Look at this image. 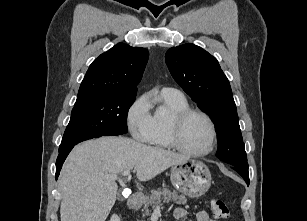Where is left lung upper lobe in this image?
<instances>
[{
  "instance_id": "1",
  "label": "left lung upper lobe",
  "mask_w": 307,
  "mask_h": 221,
  "mask_svg": "<svg viewBox=\"0 0 307 221\" xmlns=\"http://www.w3.org/2000/svg\"><path fill=\"white\" fill-rule=\"evenodd\" d=\"M165 60L175 81L214 121L217 157L248 171L232 90L216 58L199 46L184 44L170 48Z\"/></svg>"
}]
</instances>
